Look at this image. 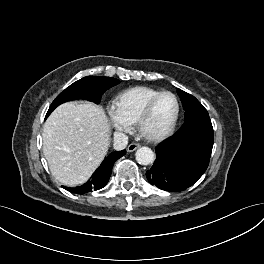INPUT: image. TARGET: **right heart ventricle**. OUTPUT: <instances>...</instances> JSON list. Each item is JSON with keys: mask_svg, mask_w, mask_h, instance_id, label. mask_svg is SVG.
<instances>
[{"mask_svg": "<svg viewBox=\"0 0 264 264\" xmlns=\"http://www.w3.org/2000/svg\"><path fill=\"white\" fill-rule=\"evenodd\" d=\"M160 92L158 89L146 86L126 89L115 97L114 108L125 121L134 124L148 101Z\"/></svg>", "mask_w": 264, "mask_h": 264, "instance_id": "1", "label": "right heart ventricle"}]
</instances>
